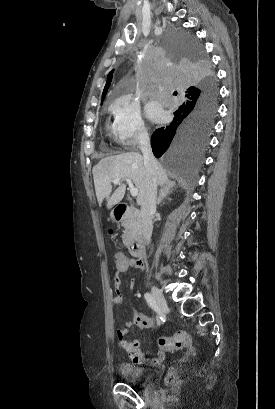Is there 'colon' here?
<instances>
[{"label": "colon", "instance_id": "obj_1", "mask_svg": "<svg viewBox=\"0 0 275 409\" xmlns=\"http://www.w3.org/2000/svg\"><path fill=\"white\" fill-rule=\"evenodd\" d=\"M115 264L117 265L118 272L123 274L128 268V263L124 256H116ZM159 347L165 350L185 349L189 356H195V347L189 336L184 330L177 331L173 336L165 337L159 342ZM174 371H170L167 380L171 381L174 378Z\"/></svg>", "mask_w": 275, "mask_h": 409}]
</instances>
